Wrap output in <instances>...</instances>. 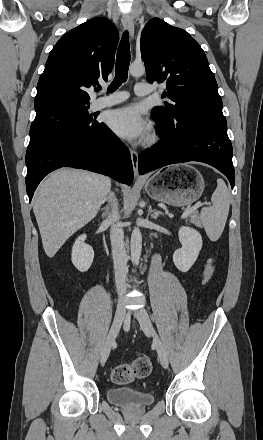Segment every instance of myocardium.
Wrapping results in <instances>:
<instances>
[{
  "label": "myocardium",
  "instance_id": "1",
  "mask_svg": "<svg viewBox=\"0 0 263 440\" xmlns=\"http://www.w3.org/2000/svg\"><path fill=\"white\" fill-rule=\"evenodd\" d=\"M156 139H157V137H156L155 134H150V135L146 138V140H145V144H146V145H152L153 143H155Z\"/></svg>",
  "mask_w": 263,
  "mask_h": 440
}]
</instances>
